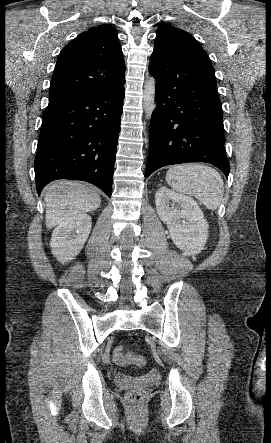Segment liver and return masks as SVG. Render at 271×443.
<instances>
[{
	"mask_svg": "<svg viewBox=\"0 0 271 443\" xmlns=\"http://www.w3.org/2000/svg\"><path fill=\"white\" fill-rule=\"evenodd\" d=\"M46 227H55L66 218L79 212H93L101 204V198L81 182H54L46 190Z\"/></svg>",
	"mask_w": 271,
	"mask_h": 443,
	"instance_id": "liver-1",
	"label": "liver"
}]
</instances>
